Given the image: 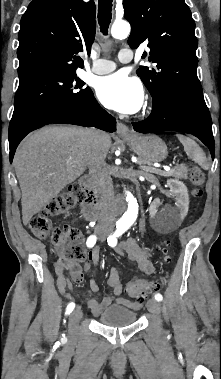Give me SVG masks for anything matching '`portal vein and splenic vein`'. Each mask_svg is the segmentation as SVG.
Wrapping results in <instances>:
<instances>
[{
  "instance_id": "portal-vein-and-splenic-vein-1",
  "label": "portal vein and splenic vein",
  "mask_w": 221,
  "mask_h": 379,
  "mask_svg": "<svg viewBox=\"0 0 221 379\" xmlns=\"http://www.w3.org/2000/svg\"><path fill=\"white\" fill-rule=\"evenodd\" d=\"M133 162H137L136 160H133ZM141 169L147 171V172H151V173H154V174H161L162 172H170L172 171L171 168L169 166H164L163 170L159 169V168H153V167H146V166H141L140 167Z\"/></svg>"
}]
</instances>
